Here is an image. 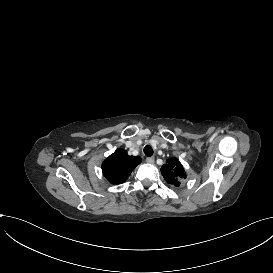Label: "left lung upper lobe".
I'll use <instances>...</instances> for the list:
<instances>
[{
  "instance_id": "5c2ea615",
  "label": "left lung upper lobe",
  "mask_w": 273,
  "mask_h": 273,
  "mask_svg": "<svg viewBox=\"0 0 273 273\" xmlns=\"http://www.w3.org/2000/svg\"><path fill=\"white\" fill-rule=\"evenodd\" d=\"M161 173L167 183L179 186L180 179L186 178V174L181 163L176 159H170L166 161L161 167Z\"/></svg>"
}]
</instances>
